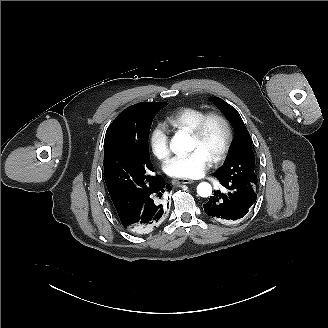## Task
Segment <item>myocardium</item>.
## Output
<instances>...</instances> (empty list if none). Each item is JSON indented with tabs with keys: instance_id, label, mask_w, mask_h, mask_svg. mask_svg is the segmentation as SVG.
<instances>
[{
	"instance_id": "1",
	"label": "myocardium",
	"mask_w": 328,
	"mask_h": 328,
	"mask_svg": "<svg viewBox=\"0 0 328 328\" xmlns=\"http://www.w3.org/2000/svg\"><path fill=\"white\" fill-rule=\"evenodd\" d=\"M220 121L226 128V140L221 151L212 159L215 164H220L226 160L228 157L234 142V128L230 119L223 113L218 111L208 112L197 122V124L189 132L190 135L196 139L200 140L205 134L208 124L213 121Z\"/></svg>"
}]
</instances>
